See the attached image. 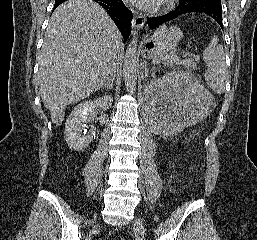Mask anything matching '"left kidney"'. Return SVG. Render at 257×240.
<instances>
[{"label": "left kidney", "mask_w": 257, "mask_h": 240, "mask_svg": "<svg viewBox=\"0 0 257 240\" xmlns=\"http://www.w3.org/2000/svg\"><path fill=\"white\" fill-rule=\"evenodd\" d=\"M209 107V93L186 72L168 73L145 87L144 111L157 134L171 136L195 125Z\"/></svg>", "instance_id": "obj_1"}]
</instances>
